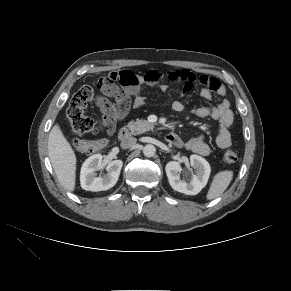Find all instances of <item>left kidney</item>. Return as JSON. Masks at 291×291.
Listing matches in <instances>:
<instances>
[{
	"instance_id": "left-kidney-1",
	"label": "left kidney",
	"mask_w": 291,
	"mask_h": 291,
	"mask_svg": "<svg viewBox=\"0 0 291 291\" xmlns=\"http://www.w3.org/2000/svg\"><path fill=\"white\" fill-rule=\"evenodd\" d=\"M190 164L195 169V174H192L189 181L180 179L182 168L176 161L168 162L165 170L169 184L175 191L186 195H196L206 186L211 168L209 163L199 155H191Z\"/></svg>"
}]
</instances>
